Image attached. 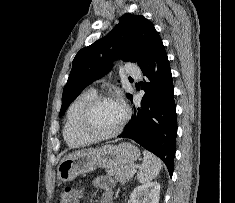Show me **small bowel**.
<instances>
[{"instance_id":"small-bowel-1","label":"small bowel","mask_w":235,"mask_h":203,"mask_svg":"<svg viewBox=\"0 0 235 203\" xmlns=\"http://www.w3.org/2000/svg\"><path fill=\"white\" fill-rule=\"evenodd\" d=\"M93 184L103 191L101 203H112L114 185L112 179L106 175H101L95 178Z\"/></svg>"}]
</instances>
